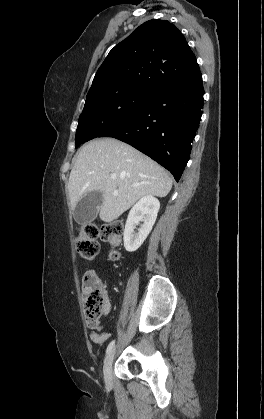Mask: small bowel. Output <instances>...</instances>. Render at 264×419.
<instances>
[{
  "instance_id": "1",
  "label": "small bowel",
  "mask_w": 264,
  "mask_h": 419,
  "mask_svg": "<svg viewBox=\"0 0 264 419\" xmlns=\"http://www.w3.org/2000/svg\"><path fill=\"white\" fill-rule=\"evenodd\" d=\"M89 272H92V273H95L96 274L97 273V269H91ZM109 312H110V302L107 301V304H106V306L104 308V312L103 313H104V315H108ZM109 337H110V334L109 333L99 334L97 332H93L90 335L91 340L93 342H95V343H98V344L104 343L105 341L108 340Z\"/></svg>"
}]
</instances>
